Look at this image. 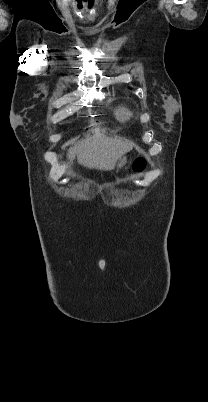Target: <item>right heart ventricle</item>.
Segmentation results:
<instances>
[{"label": "right heart ventricle", "mask_w": 208, "mask_h": 402, "mask_svg": "<svg viewBox=\"0 0 208 402\" xmlns=\"http://www.w3.org/2000/svg\"><path fill=\"white\" fill-rule=\"evenodd\" d=\"M112 112H113L115 118L119 122H126V121L130 120V118L132 116V114L129 111V109H127L122 104L114 105L113 108H112Z\"/></svg>", "instance_id": "e07e8e85"}]
</instances>
